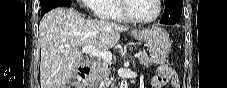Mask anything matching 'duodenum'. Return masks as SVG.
<instances>
[{"label": "duodenum", "instance_id": "410a0bca", "mask_svg": "<svg viewBox=\"0 0 227 88\" xmlns=\"http://www.w3.org/2000/svg\"><path fill=\"white\" fill-rule=\"evenodd\" d=\"M92 66V61L91 60H85L83 61L78 69V73H79V78H78V82L79 83H83L85 78L87 77V75L90 72Z\"/></svg>", "mask_w": 227, "mask_h": 88}]
</instances>
